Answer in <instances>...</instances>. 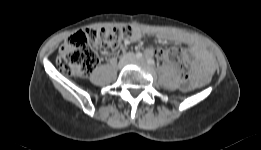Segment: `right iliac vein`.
I'll list each match as a JSON object with an SVG mask.
<instances>
[{
    "label": "right iliac vein",
    "instance_id": "1",
    "mask_svg": "<svg viewBox=\"0 0 261 150\" xmlns=\"http://www.w3.org/2000/svg\"><path fill=\"white\" fill-rule=\"evenodd\" d=\"M134 59L133 55H127L125 56L122 61L119 63V67L122 68L124 67L127 63H129L130 61H132Z\"/></svg>",
    "mask_w": 261,
    "mask_h": 150
}]
</instances>
